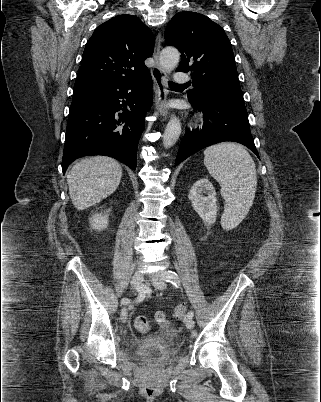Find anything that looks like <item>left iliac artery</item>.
<instances>
[{
	"label": "left iliac artery",
	"instance_id": "1",
	"mask_svg": "<svg viewBox=\"0 0 321 402\" xmlns=\"http://www.w3.org/2000/svg\"><path fill=\"white\" fill-rule=\"evenodd\" d=\"M164 279L174 285L175 287H178L180 285V280L176 272L174 271H167L164 274ZM194 316V313L192 311L188 312L187 317L192 318Z\"/></svg>",
	"mask_w": 321,
	"mask_h": 402
}]
</instances>
